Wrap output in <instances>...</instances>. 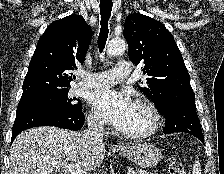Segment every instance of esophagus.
Wrapping results in <instances>:
<instances>
[{
  "instance_id": "34e87169",
  "label": "esophagus",
  "mask_w": 224,
  "mask_h": 174,
  "mask_svg": "<svg viewBox=\"0 0 224 174\" xmlns=\"http://www.w3.org/2000/svg\"><path fill=\"white\" fill-rule=\"evenodd\" d=\"M117 148H123L124 146L119 144V145H116Z\"/></svg>"
}]
</instances>
